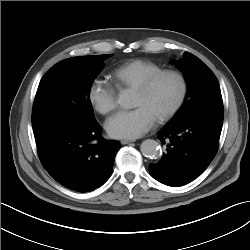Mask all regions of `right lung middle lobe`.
Returning <instances> with one entry per match:
<instances>
[{
  "instance_id": "obj_1",
  "label": "right lung middle lobe",
  "mask_w": 250,
  "mask_h": 250,
  "mask_svg": "<svg viewBox=\"0 0 250 250\" xmlns=\"http://www.w3.org/2000/svg\"><path fill=\"white\" fill-rule=\"evenodd\" d=\"M111 55L69 58L55 64L41 79L32 113L34 135L95 125L90 87Z\"/></svg>"
}]
</instances>
